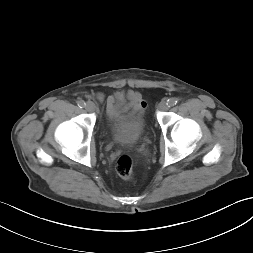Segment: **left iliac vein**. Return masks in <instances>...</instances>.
I'll return each mask as SVG.
<instances>
[{
	"mask_svg": "<svg viewBox=\"0 0 253 253\" xmlns=\"http://www.w3.org/2000/svg\"><path fill=\"white\" fill-rule=\"evenodd\" d=\"M169 108H170V105H169L168 101H166V100L161 101L158 106V109L161 111H166Z\"/></svg>",
	"mask_w": 253,
	"mask_h": 253,
	"instance_id": "obj_1",
	"label": "left iliac vein"
}]
</instances>
